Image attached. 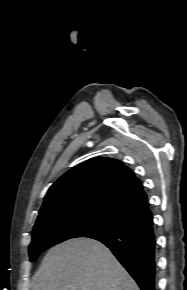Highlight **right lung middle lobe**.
Segmentation results:
<instances>
[{
    "mask_svg": "<svg viewBox=\"0 0 187 290\" xmlns=\"http://www.w3.org/2000/svg\"><path fill=\"white\" fill-rule=\"evenodd\" d=\"M129 222L116 211L102 206H80L38 217L29 247L30 260L65 240L119 227Z\"/></svg>",
    "mask_w": 187,
    "mask_h": 290,
    "instance_id": "obj_1",
    "label": "right lung middle lobe"
}]
</instances>
